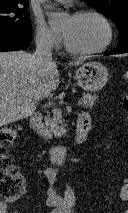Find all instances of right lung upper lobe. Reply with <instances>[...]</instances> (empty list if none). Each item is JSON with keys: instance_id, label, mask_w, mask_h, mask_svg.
<instances>
[{"instance_id": "cb5924a9", "label": "right lung upper lobe", "mask_w": 128, "mask_h": 213, "mask_svg": "<svg viewBox=\"0 0 128 213\" xmlns=\"http://www.w3.org/2000/svg\"><path fill=\"white\" fill-rule=\"evenodd\" d=\"M28 0H0L1 5H20L27 4Z\"/></svg>"}]
</instances>
